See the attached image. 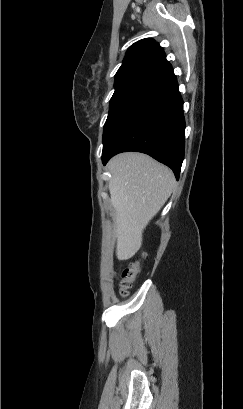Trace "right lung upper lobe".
I'll use <instances>...</instances> for the list:
<instances>
[{
    "label": "right lung upper lobe",
    "mask_w": 243,
    "mask_h": 409,
    "mask_svg": "<svg viewBox=\"0 0 243 409\" xmlns=\"http://www.w3.org/2000/svg\"><path fill=\"white\" fill-rule=\"evenodd\" d=\"M171 73L173 68L166 60L163 48L154 40L146 38L137 41L128 49L115 75V83L137 77L163 81Z\"/></svg>",
    "instance_id": "right-lung-upper-lobe-1"
}]
</instances>
